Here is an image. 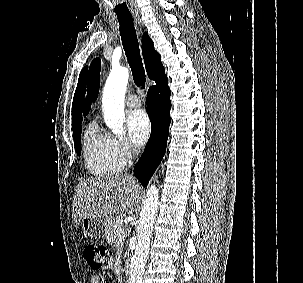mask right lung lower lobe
Masks as SVG:
<instances>
[{
  "mask_svg": "<svg viewBox=\"0 0 303 283\" xmlns=\"http://www.w3.org/2000/svg\"><path fill=\"white\" fill-rule=\"evenodd\" d=\"M146 101L152 130L145 150L134 167V175L144 187L147 186L166 150L171 121L168 80L166 79L150 87Z\"/></svg>",
  "mask_w": 303,
  "mask_h": 283,
  "instance_id": "obj_1",
  "label": "right lung lower lobe"
}]
</instances>
